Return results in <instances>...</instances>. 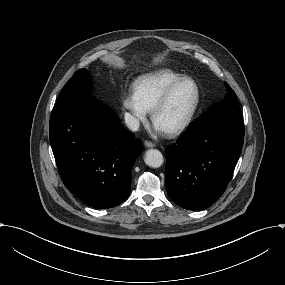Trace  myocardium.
<instances>
[{
	"instance_id": "1",
	"label": "myocardium",
	"mask_w": 285,
	"mask_h": 285,
	"mask_svg": "<svg viewBox=\"0 0 285 285\" xmlns=\"http://www.w3.org/2000/svg\"><path fill=\"white\" fill-rule=\"evenodd\" d=\"M186 82H192L195 87H196V99L195 102L190 110V112L188 113V115L185 117V119L180 122L179 124H177L176 126L170 128L169 130H167V132L169 134H178L182 131H184L193 121L199 106L201 104V98H202V91H201V87L199 85V83L192 77H183L180 80H178L177 82H175L174 84H172L167 90L166 92L163 94V96L161 97V99L158 101V103L155 105V107L153 108L152 111V118L154 121H156V117L158 115V113L169 103L172 95L174 94V92L184 83Z\"/></svg>"
}]
</instances>
